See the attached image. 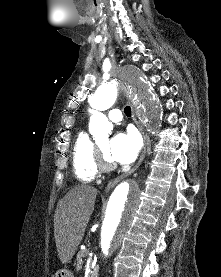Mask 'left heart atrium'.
<instances>
[{"instance_id": "obj_1", "label": "left heart atrium", "mask_w": 221, "mask_h": 277, "mask_svg": "<svg viewBox=\"0 0 221 277\" xmlns=\"http://www.w3.org/2000/svg\"><path fill=\"white\" fill-rule=\"evenodd\" d=\"M141 140L138 134L128 129L117 133L108 145V156L112 161L122 164L132 163L138 156Z\"/></svg>"}]
</instances>
